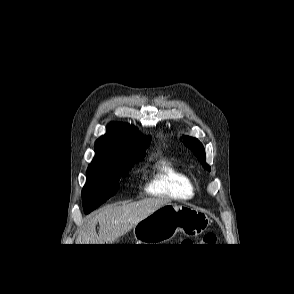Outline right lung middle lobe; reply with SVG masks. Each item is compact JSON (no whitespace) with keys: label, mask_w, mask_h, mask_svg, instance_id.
<instances>
[{"label":"right lung middle lobe","mask_w":294,"mask_h":294,"mask_svg":"<svg viewBox=\"0 0 294 294\" xmlns=\"http://www.w3.org/2000/svg\"><path fill=\"white\" fill-rule=\"evenodd\" d=\"M142 158L95 157L88 166L87 182L82 191L85 213L113 196L120 187V178Z\"/></svg>","instance_id":"right-lung-middle-lobe-1"}]
</instances>
